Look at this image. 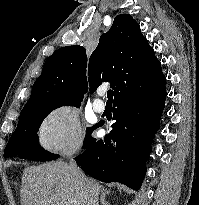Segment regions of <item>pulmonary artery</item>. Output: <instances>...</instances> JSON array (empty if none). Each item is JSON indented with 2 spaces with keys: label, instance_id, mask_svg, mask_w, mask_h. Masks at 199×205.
Masks as SVG:
<instances>
[{
  "label": "pulmonary artery",
  "instance_id": "e3ab8cb5",
  "mask_svg": "<svg viewBox=\"0 0 199 205\" xmlns=\"http://www.w3.org/2000/svg\"><path fill=\"white\" fill-rule=\"evenodd\" d=\"M103 94H104L103 91H98L99 97L103 96ZM93 108L97 113H102L105 111V108H106L105 102L101 100L100 98H96L93 101Z\"/></svg>",
  "mask_w": 199,
  "mask_h": 205
}]
</instances>
